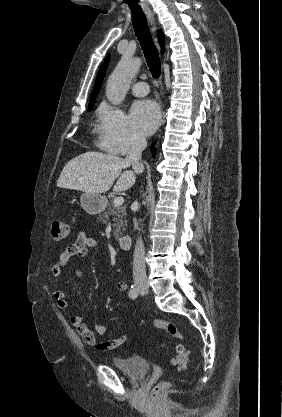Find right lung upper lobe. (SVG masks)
Wrapping results in <instances>:
<instances>
[{"label": "right lung upper lobe", "instance_id": "obj_1", "mask_svg": "<svg viewBox=\"0 0 282 417\" xmlns=\"http://www.w3.org/2000/svg\"><path fill=\"white\" fill-rule=\"evenodd\" d=\"M157 36L159 38V43L162 46L161 52L163 53L164 52L163 44H164V38H165L164 37V34L161 31H158V35ZM109 61H110V55H108L106 57V59L104 60V63L101 65V67H100V69L98 71V75H97V78H96V81H95V85H94V89H93V91L91 93V96L98 94L99 89H100L101 84H102V81H103V78L105 76V71L107 69V66H108Z\"/></svg>", "mask_w": 282, "mask_h": 417}]
</instances>
